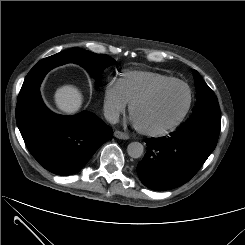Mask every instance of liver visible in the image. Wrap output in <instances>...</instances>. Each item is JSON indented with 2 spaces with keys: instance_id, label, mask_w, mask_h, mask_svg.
<instances>
[{
  "instance_id": "liver-1",
  "label": "liver",
  "mask_w": 245,
  "mask_h": 245,
  "mask_svg": "<svg viewBox=\"0 0 245 245\" xmlns=\"http://www.w3.org/2000/svg\"><path fill=\"white\" fill-rule=\"evenodd\" d=\"M57 108L65 114H75L83 103L81 91L74 85L59 87L54 95Z\"/></svg>"
}]
</instances>
